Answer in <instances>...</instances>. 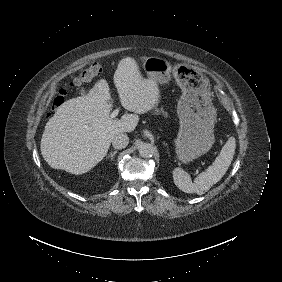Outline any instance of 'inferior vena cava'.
Segmentation results:
<instances>
[{"instance_id":"602c4592","label":"inferior vena cava","mask_w":282,"mask_h":282,"mask_svg":"<svg viewBox=\"0 0 282 282\" xmlns=\"http://www.w3.org/2000/svg\"><path fill=\"white\" fill-rule=\"evenodd\" d=\"M129 142V137L126 133L120 132L113 136L112 144L114 148L123 149L127 146Z\"/></svg>"}]
</instances>
